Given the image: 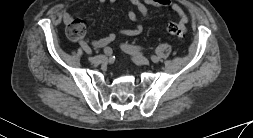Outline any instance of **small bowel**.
<instances>
[{
	"label": "small bowel",
	"mask_w": 253,
	"mask_h": 138,
	"mask_svg": "<svg viewBox=\"0 0 253 138\" xmlns=\"http://www.w3.org/2000/svg\"><path fill=\"white\" fill-rule=\"evenodd\" d=\"M99 1L101 3H105V2L115 3V2H117V0H99ZM130 2L132 3V5L135 6V8L139 12L141 18H139V16L137 15V13L135 11L129 10L127 12V16H128V19L131 22H133V26L131 28L120 29L118 31V33L121 35L135 36V35H138L142 32L143 27L141 25V19L142 20L147 19L148 15H149L148 7H156V8L169 7L179 17L181 23L188 22V17L185 14L182 7L178 3L172 2V0H130ZM73 19H74L73 15L68 11H66L63 14V20L66 24L71 22ZM115 38H116V33L111 32L103 37L94 39L92 41V44L96 48H104L108 44L113 42L115 40ZM80 43L86 51L90 50V48L85 44V42L81 41Z\"/></svg>",
	"instance_id": "small-bowel-1"
}]
</instances>
